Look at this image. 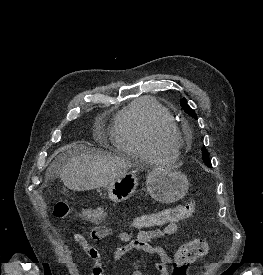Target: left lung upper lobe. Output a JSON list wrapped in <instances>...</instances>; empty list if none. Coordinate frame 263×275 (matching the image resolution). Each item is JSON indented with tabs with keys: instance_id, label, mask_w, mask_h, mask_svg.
Wrapping results in <instances>:
<instances>
[{
	"instance_id": "left-lung-upper-lobe-1",
	"label": "left lung upper lobe",
	"mask_w": 263,
	"mask_h": 275,
	"mask_svg": "<svg viewBox=\"0 0 263 275\" xmlns=\"http://www.w3.org/2000/svg\"><path fill=\"white\" fill-rule=\"evenodd\" d=\"M181 106H182V108L184 109V111H185L187 114H189L191 117L197 119V116H196L194 110L191 109V108L189 107V105L187 104V101H186L185 98H183V99L181 100ZM202 158H203L204 163H205L208 167H212V166H211L210 159H209V156H208V154H207V150H206L205 147H203V149H202Z\"/></svg>"
}]
</instances>
